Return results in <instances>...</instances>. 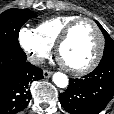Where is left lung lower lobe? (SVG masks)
<instances>
[{
	"mask_svg": "<svg viewBox=\"0 0 114 114\" xmlns=\"http://www.w3.org/2000/svg\"><path fill=\"white\" fill-rule=\"evenodd\" d=\"M114 96V62L100 63L82 79H70L59 95L63 108L71 114H98Z\"/></svg>",
	"mask_w": 114,
	"mask_h": 114,
	"instance_id": "0a47b994",
	"label": "left lung lower lobe"
}]
</instances>
